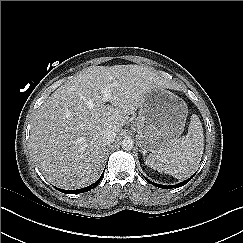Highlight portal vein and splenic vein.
Returning a JSON list of instances; mask_svg holds the SVG:
<instances>
[{
    "label": "portal vein and splenic vein",
    "mask_w": 243,
    "mask_h": 243,
    "mask_svg": "<svg viewBox=\"0 0 243 243\" xmlns=\"http://www.w3.org/2000/svg\"><path fill=\"white\" fill-rule=\"evenodd\" d=\"M111 87H112L111 84H110V85H107V86L101 91L104 101H108V100L111 99V96H112V95H111V90H110Z\"/></svg>",
    "instance_id": "obj_1"
}]
</instances>
